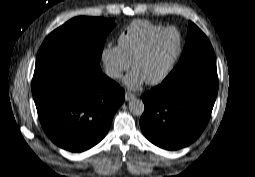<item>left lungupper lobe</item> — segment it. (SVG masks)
<instances>
[{"label": "left lung upper lobe", "mask_w": 255, "mask_h": 177, "mask_svg": "<svg viewBox=\"0 0 255 177\" xmlns=\"http://www.w3.org/2000/svg\"><path fill=\"white\" fill-rule=\"evenodd\" d=\"M204 66H216L214 50L205 34L189 21L187 40L181 59L164 81Z\"/></svg>", "instance_id": "obj_1"}]
</instances>
